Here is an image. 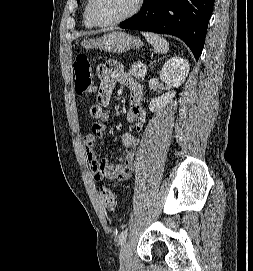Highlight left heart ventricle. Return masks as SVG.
<instances>
[{
    "label": "left heart ventricle",
    "instance_id": "obj_1",
    "mask_svg": "<svg viewBox=\"0 0 253 271\" xmlns=\"http://www.w3.org/2000/svg\"><path fill=\"white\" fill-rule=\"evenodd\" d=\"M136 0H95L94 11L101 22L114 21L128 13Z\"/></svg>",
    "mask_w": 253,
    "mask_h": 271
}]
</instances>
